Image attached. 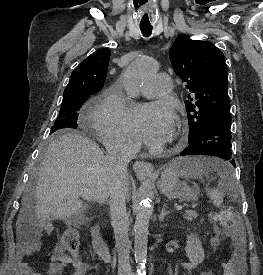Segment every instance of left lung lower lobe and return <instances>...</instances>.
<instances>
[{"instance_id": "left-lung-lower-lobe-1", "label": "left lung lower lobe", "mask_w": 263, "mask_h": 275, "mask_svg": "<svg viewBox=\"0 0 263 275\" xmlns=\"http://www.w3.org/2000/svg\"><path fill=\"white\" fill-rule=\"evenodd\" d=\"M230 129L231 115L216 117L198 136L188 139L189 145L180 155H211L225 159L235 166L231 151Z\"/></svg>"}]
</instances>
